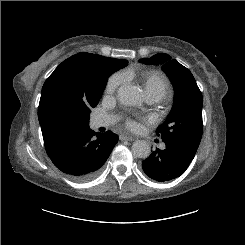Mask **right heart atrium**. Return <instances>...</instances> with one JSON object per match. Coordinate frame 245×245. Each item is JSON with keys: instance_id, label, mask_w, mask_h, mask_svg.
Here are the masks:
<instances>
[{"instance_id": "1", "label": "right heart atrium", "mask_w": 245, "mask_h": 245, "mask_svg": "<svg viewBox=\"0 0 245 245\" xmlns=\"http://www.w3.org/2000/svg\"><path fill=\"white\" fill-rule=\"evenodd\" d=\"M125 77L121 73L113 74L106 84V93L111 94L117 90V88L124 82Z\"/></svg>"}]
</instances>
